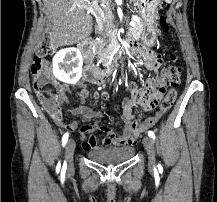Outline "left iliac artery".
<instances>
[{"mask_svg":"<svg viewBox=\"0 0 217 202\" xmlns=\"http://www.w3.org/2000/svg\"><path fill=\"white\" fill-rule=\"evenodd\" d=\"M148 136L151 137L152 139H155V134L153 131H148Z\"/></svg>","mask_w":217,"mask_h":202,"instance_id":"obj_1","label":"left iliac artery"}]
</instances>
